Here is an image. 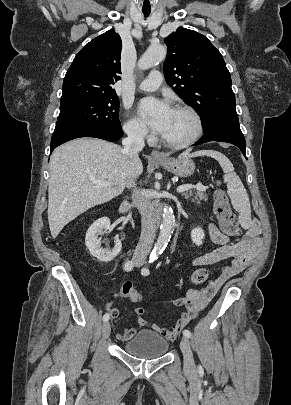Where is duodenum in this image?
Returning <instances> with one entry per match:
<instances>
[{
	"label": "duodenum",
	"instance_id": "obj_1",
	"mask_svg": "<svg viewBox=\"0 0 291 405\" xmlns=\"http://www.w3.org/2000/svg\"><path fill=\"white\" fill-rule=\"evenodd\" d=\"M129 209V203L128 202H123L121 207H120V212L125 213Z\"/></svg>",
	"mask_w": 291,
	"mask_h": 405
}]
</instances>
